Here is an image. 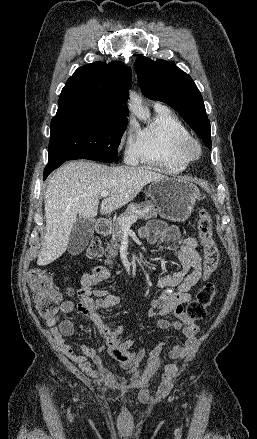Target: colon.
<instances>
[{"label":"colon","mask_w":257,"mask_h":439,"mask_svg":"<svg viewBox=\"0 0 257 439\" xmlns=\"http://www.w3.org/2000/svg\"><path fill=\"white\" fill-rule=\"evenodd\" d=\"M197 229L199 239L203 248V279L209 278L217 269L219 261V251L213 238L212 219L210 213L202 209L197 219ZM88 258H97L102 254L101 243L93 239L86 248ZM29 286L38 303V310L44 317H51L57 311V291L54 283L46 272L41 269H32L29 275ZM74 291L68 290L72 295ZM216 293L215 285L211 282L206 283L197 292L195 298L188 303L185 309L187 321L195 322L202 319L207 307L211 304ZM78 295L82 298L88 296L81 290ZM93 299V297H88Z\"/></svg>","instance_id":"5ec220e1"}]
</instances>
